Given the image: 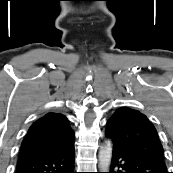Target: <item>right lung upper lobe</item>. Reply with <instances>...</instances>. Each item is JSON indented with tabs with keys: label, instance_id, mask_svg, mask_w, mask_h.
Returning a JSON list of instances; mask_svg holds the SVG:
<instances>
[{
	"label": "right lung upper lobe",
	"instance_id": "cb5924a9",
	"mask_svg": "<svg viewBox=\"0 0 173 173\" xmlns=\"http://www.w3.org/2000/svg\"><path fill=\"white\" fill-rule=\"evenodd\" d=\"M74 145V132L67 118L59 113H47L34 122L22 141L18 159L40 156Z\"/></svg>",
	"mask_w": 173,
	"mask_h": 173
}]
</instances>
